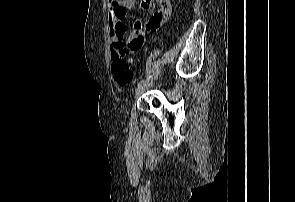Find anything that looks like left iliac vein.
I'll return each instance as SVG.
<instances>
[{
	"label": "left iliac vein",
	"mask_w": 295,
	"mask_h": 202,
	"mask_svg": "<svg viewBox=\"0 0 295 202\" xmlns=\"http://www.w3.org/2000/svg\"><path fill=\"white\" fill-rule=\"evenodd\" d=\"M152 84H153V79L138 86L135 90V98H137L142 93H144Z\"/></svg>",
	"instance_id": "obj_1"
}]
</instances>
